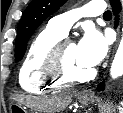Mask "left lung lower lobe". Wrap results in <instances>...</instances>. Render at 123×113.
Segmentation results:
<instances>
[{
    "label": "left lung lower lobe",
    "mask_w": 123,
    "mask_h": 113,
    "mask_svg": "<svg viewBox=\"0 0 123 113\" xmlns=\"http://www.w3.org/2000/svg\"><path fill=\"white\" fill-rule=\"evenodd\" d=\"M111 2V5H112V9H113V13L114 15H116V25H117V22H118V14L120 13L121 11V3L119 0H110ZM104 88V84H99L98 85V90H103Z\"/></svg>",
    "instance_id": "left-lung-lower-lobe-1"
}]
</instances>
